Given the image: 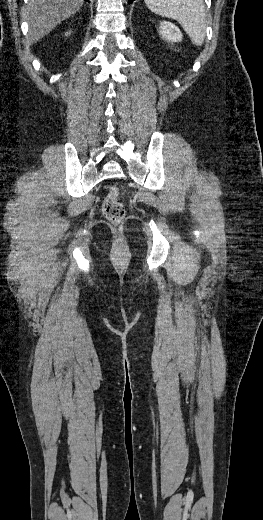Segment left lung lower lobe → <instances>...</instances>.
Returning a JSON list of instances; mask_svg holds the SVG:
<instances>
[{"mask_svg":"<svg viewBox=\"0 0 263 520\" xmlns=\"http://www.w3.org/2000/svg\"><path fill=\"white\" fill-rule=\"evenodd\" d=\"M132 1H134V0H128V3H131Z\"/></svg>","mask_w":263,"mask_h":520,"instance_id":"obj_1","label":"left lung lower lobe"}]
</instances>
